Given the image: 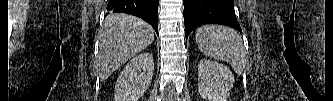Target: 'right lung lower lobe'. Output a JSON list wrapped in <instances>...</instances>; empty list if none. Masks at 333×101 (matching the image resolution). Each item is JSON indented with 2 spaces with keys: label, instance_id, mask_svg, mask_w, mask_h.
I'll use <instances>...</instances> for the list:
<instances>
[{
  "label": "right lung lower lobe",
  "instance_id": "98d812e1",
  "mask_svg": "<svg viewBox=\"0 0 333 101\" xmlns=\"http://www.w3.org/2000/svg\"><path fill=\"white\" fill-rule=\"evenodd\" d=\"M158 4L159 0H109L107 14L120 12L135 15L148 22L158 33Z\"/></svg>",
  "mask_w": 333,
  "mask_h": 101
}]
</instances>
